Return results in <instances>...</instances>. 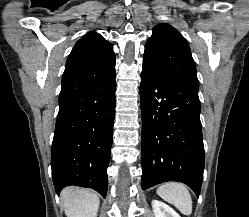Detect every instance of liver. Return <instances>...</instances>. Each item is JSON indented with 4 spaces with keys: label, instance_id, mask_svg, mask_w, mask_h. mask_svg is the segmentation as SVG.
<instances>
[{
    "label": "liver",
    "instance_id": "obj_1",
    "mask_svg": "<svg viewBox=\"0 0 249 217\" xmlns=\"http://www.w3.org/2000/svg\"><path fill=\"white\" fill-rule=\"evenodd\" d=\"M67 217H97L99 196L90 189L67 187L61 192Z\"/></svg>",
    "mask_w": 249,
    "mask_h": 217
}]
</instances>
